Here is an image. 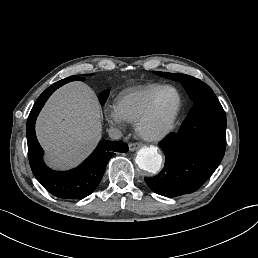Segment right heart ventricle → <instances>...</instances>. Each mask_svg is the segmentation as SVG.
<instances>
[{
    "label": "right heart ventricle",
    "instance_id": "right-heart-ventricle-1",
    "mask_svg": "<svg viewBox=\"0 0 258 258\" xmlns=\"http://www.w3.org/2000/svg\"><path fill=\"white\" fill-rule=\"evenodd\" d=\"M160 87L157 84H147L124 90L116 98V107L125 120L135 122L150 98Z\"/></svg>",
    "mask_w": 258,
    "mask_h": 258
}]
</instances>
